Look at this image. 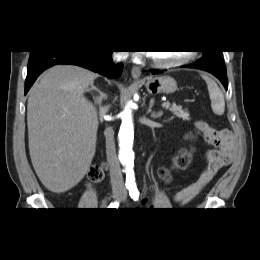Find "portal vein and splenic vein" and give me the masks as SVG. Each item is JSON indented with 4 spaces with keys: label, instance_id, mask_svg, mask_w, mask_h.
I'll use <instances>...</instances> for the list:
<instances>
[{
    "label": "portal vein and splenic vein",
    "instance_id": "1",
    "mask_svg": "<svg viewBox=\"0 0 260 260\" xmlns=\"http://www.w3.org/2000/svg\"><path fill=\"white\" fill-rule=\"evenodd\" d=\"M170 106V103L169 102H164V103H162V107H169Z\"/></svg>",
    "mask_w": 260,
    "mask_h": 260
}]
</instances>
